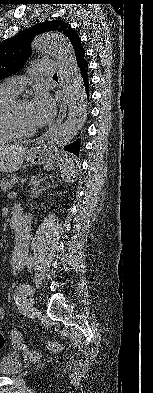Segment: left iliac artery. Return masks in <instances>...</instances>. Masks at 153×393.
<instances>
[{
    "instance_id": "obj_1",
    "label": "left iliac artery",
    "mask_w": 153,
    "mask_h": 393,
    "mask_svg": "<svg viewBox=\"0 0 153 393\" xmlns=\"http://www.w3.org/2000/svg\"><path fill=\"white\" fill-rule=\"evenodd\" d=\"M29 289H30L29 285H19L16 288L14 299H15V303L17 304V306L19 308L21 306V300L24 301L26 299V293H27V290H29Z\"/></svg>"
}]
</instances>
